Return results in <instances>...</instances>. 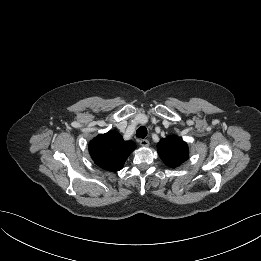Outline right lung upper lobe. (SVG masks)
I'll use <instances>...</instances> for the list:
<instances>
[{
    "instance_id": "obj_1",
    "label": "right lung upper lobe",
    "mask_w": 261,
    "mask_h": 261,
    "mask_svg": "<svg viewBox=\"0 0 261 261\" xmlns=\"http://www.w3.org/2000/svg\"><path fill=\"white\" fill-rule=\"evenodd\" d=\"M132 141H124L116 131L100 134L89 143V153L99 167L108 171L122 169L128 156L135 150Z\"/></svg>"
}]
</instances>
